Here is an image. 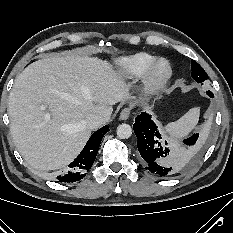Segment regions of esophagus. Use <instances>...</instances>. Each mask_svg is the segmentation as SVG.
I'll list each match as a JSON object with an SVG mask.
<instances>
[{
    "label": "esophagus",
    "instance_id": "34e87169",
    "mask_svg": "<svg viewBox=\"0 0 233 233\" xmlns=\"http://www.w3.org/2000/svg\"><path fill=\"white\" fill-rule=\"evenodd\" d=\"M130 116V108L126 107L120 112V120H127Z\"/></svg>",
    "mask_w": 233,
    "mask_h": 233
}]
</instances>
